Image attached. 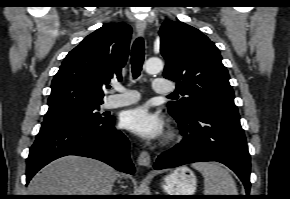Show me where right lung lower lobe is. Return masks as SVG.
Here are the masks:
<instances>
[{"label":"right lung lower lobe","instance_id":"right-lung-lower-lobe-1","mask_svg":"<svg viewBox=\"0 0 290 199\" xmlns=\"http://www.w3.org/2000/svg\"><path fill=\"white\" fill-rule=\"evenodd\" d=\"M77 155L103 161L115 169L133 174L129 142L114 127V117L104 122L42 126L27 158V183L45 165Z\"/></svg>","mask_w":290,"mask_h":199}]
</instances>
